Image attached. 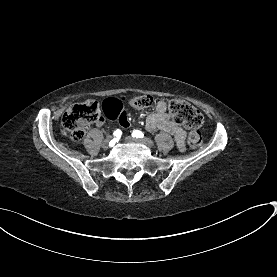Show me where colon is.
Wrapping results in <instances>:
<instances>
[{
	"instance_id": "1",
	"label": "colon",
	"mask_w": 277,
	"mask_h": 277,
	"mask_svg": "<svg viewBox=\"0 0 277 277\" xmlns=\"http://www.w3.org/2000/svg\"><path fill=\"white\" fill-rule=\"evenodd\" d=\"M130 108L144 109L153 105L154 99L150 95L130 97L127 101ZM100 105L94 99H88L83 104H74L62 115V126L72 141H80L85 135L86 126L96 120L103 119L104 114L98 112ZM168 111L175 120L191 129L187 143L192 148H198L202 143V135L198 130L204 121L202 113L194 106L179 99H172L168 103Z\"/></svg>"
}]
</instances>
